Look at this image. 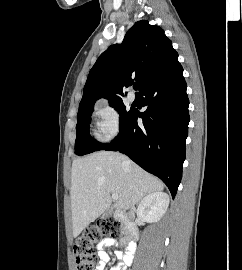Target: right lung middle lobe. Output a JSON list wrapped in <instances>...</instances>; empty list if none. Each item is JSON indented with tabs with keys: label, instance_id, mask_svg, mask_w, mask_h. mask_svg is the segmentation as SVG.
<instances>
[{
	"label": "right lung middle lobe",
	"instance_id": "obj_1",
	"mask_svg": "<svg viewBox=\"0 0 242 270\" xmlns=\"http://www.w3.org/2000/svg\"><path fill=\"white\" fill-rule=\"evenodd\" d=\"M112 107H114L120 115V130L128 120L129 116L133 110H126V106L123 104L122 100L111 101L109 102ZM93 108L89 107L83 110L78 111L77 115V125H76V142H75V154L76 155H85L92 153L94 151L101 150L106 144H101L94 140L89 133V123L91 121L90 116L93 112Z\"/></svg>",
	"mask_w": 242,
	"mask_h": 270
}]
</instances>
